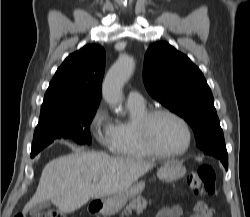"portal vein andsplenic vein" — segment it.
Returning <instances> with one entry per match:
<instances>
[{"label": "portal vein and splenic vein", "instance_id": "18ae733b", "mask_svg": "<svg viewBox=\"0 0 250 217\" xmlns=\"http://www.w3.org/2000/svg\"><path fill=\"white\" fill-rule=\"evenodd\" d=\"M98 182V178H93V183L96 184Z\"/></svg>", "mask_w": 250, "mask_h": 217}]
</instances>
